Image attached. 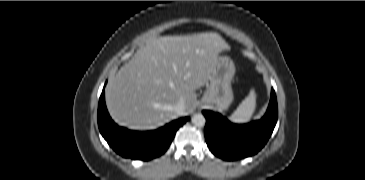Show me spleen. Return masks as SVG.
Masks as SVG:
<instances>
[{
  "mask_svg": "<svg viewBox=\"0 0 365 180\" xmlns=\"http://www.w3.org/2000/svg\"><path fill=\"white\" fill-rule=\"evenodd\" d=\"M256 109V93L252 89L249 95L241 102L237 109L230 116V120L234 123L242 124L251 120Z\"/></svg>",
  "mask_w": 365,
  "mask_h": 180,
  "instance_id": "obj_1",
  "label": "spleen"
}]
</instances>
